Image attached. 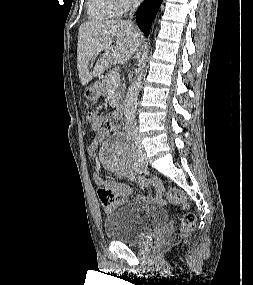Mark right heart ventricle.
I'll return each instance as SVG.
<instances>
[{"label": "right heart ventricle", "instance_id": "1", "mask_svg": "<svg viewBox=\"0 0 253 285\" xmlns=\"http://www.w3.org/2000/svg\"><path fill=\"white\" fill-rule=\"evenodd\" d=\"M118 0H87L88 15L95 20H109L122 14Z\"/></svg>", "mask_w": 253, "mask_h": 285}]
</instances>
